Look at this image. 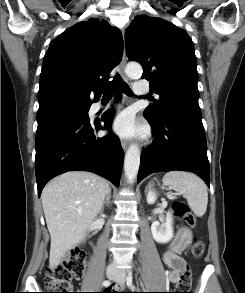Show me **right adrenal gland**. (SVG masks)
Returning <instances> with one entry per match:
<instances>
[{
  "label": "right adrenal gland",
  "mask_w": 245,
  "mask_h": 293,
  "mask_svg": "<svg viewBox=\"0 0 245 293\" xmlns=\"http://www.w3.org/2000/svg\"><path fill=\"white\" fill-rule=\"evenodd\" d=\"M110 197H111V189L109 190L104 202H103V205H102V210L104 209V206L105 205H109L110 203Z\"/></svg>",
  "instance_id": "right-adrenal-gland-1"
}]
</instances>
